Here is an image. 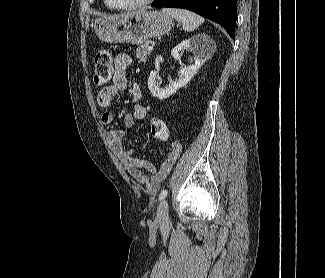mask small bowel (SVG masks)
<instances>
[{
    "label": "small bowel",
    "instance_id": "c3829d8e",
    "mask_svg": "<svg viewBox=\"0 0 325 278\" xmlns=\"http://www.w3.org/2000/svg\"><path fill=\"white\" fill-rule=\"evenodd\" d=\"M131 57L127 54H118L114 59V75L112 83L102 88L97 95V103L104 110L101 122L110 125L113 121V113L110 110L111 101L114 96L122 93L128 85L127 69L131 65ZM132 109L124 115L126 126L132 125L135 119H143L146 116V108L141 103V91L137 84L132 89ZM125 131L117 128L108 131L107 137L113 149L119 154L128 173L135 179L138 186H144L147 195H153L159 189L161 183L171 172L176 163L181 143L172 141L169 143V151L158 167H155L148 159L137 156L136 148L124 149L123 137Z\"/></svg>",
    "mask_w": 325,
    "mask_h": 278
}]
</instances>
